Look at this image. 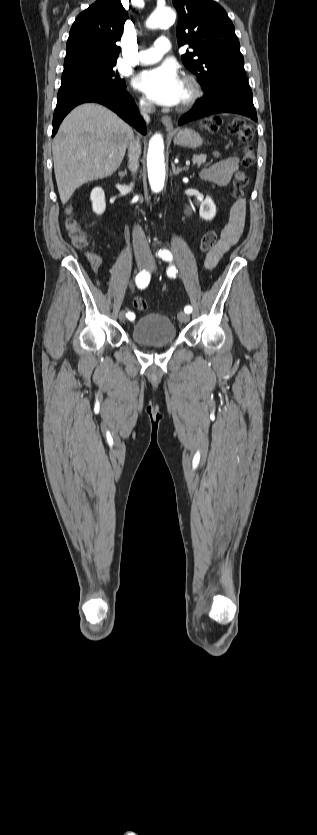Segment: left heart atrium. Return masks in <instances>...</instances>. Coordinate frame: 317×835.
Here are the masks:
<instances>
[{
    "label": "left heart atrium",
    "mask_w": 317,
    "mask_h": 835,
    "mask_svg": "<svg viewBox=\"0 0 317 835\" xmlns=\"http://www.w3.org/2000/svg\"><path fill=\"white\" fill-rule=\"evenodd\" d=\"M137 87L153 102L172 106L180 102L183 82L171 63L143 71L137 79Z\"/></svg>",
    "instance_id": "obj_1"
}]
</instances>
